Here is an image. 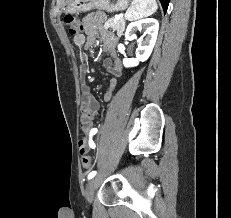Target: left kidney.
<instances>
[{
	"label": "left kidney",
	"mask_w": 231,
	"mask_h": 218,
	"mask_svg": "<svg viewBox=\"0 0 231 218\" xmlns=\"http://www.w3.org/2000/svg\"><path fill=\"white\" fill-rule=\"evenodd\" d=\"M146 28L145 38L138 39V48L136 51V58L123 59V65L125 67H134L139 64V62L146 61L152 53L154 48L158 30H159V23L154 18H146L139 21L131 22L126 29L125 38L128 40H132L135 38L134 32L136 30H141Z\"/></svg>",
	"instance_id": "left-kidney-1"
}]
</instances>
